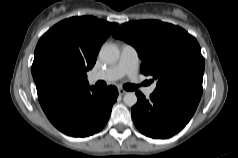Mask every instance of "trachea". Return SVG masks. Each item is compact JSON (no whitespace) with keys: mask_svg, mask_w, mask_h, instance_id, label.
Here are the masks:
<instances>
[{"mask_svg":"<svg viewBox=\"0 0 238 158\" xmlns=\"http://www.w3.org/2000/svg\"><path fill=\"white\" fill-rule=\"evenodd\" d=\"M123 88H124L125 90H128V91H133V90H136V89L138 88V86L133 85V84H125V85L123 86Z\"/></svg>","mask_w":238,"mask_h":158,"instance_id":"trachea-1","label":"trachea"}]
</instances>
